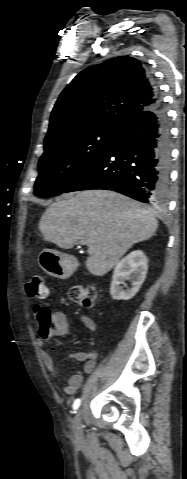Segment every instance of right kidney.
Listing matches in <instances>:
<instances>
[{
  "label": "right kidney",
  "instance_id": "obj_1",
  "mask_svg": "<svg viewBox=\"0 0 187 479\" xmlns=\"http://www.w3.org/2000/svg\"><path fill=\"white\" fill-rule=\"evenodd\" d=\"M148 259L146 255L136 250L120 260L114 268L110 293L114 300H130L139 291L146 278ZM129 280L131 287L124 290L121 284Z\"/></svg>",
  "mask_w": 187,
  "mask_h": 479
}]
</instances>
